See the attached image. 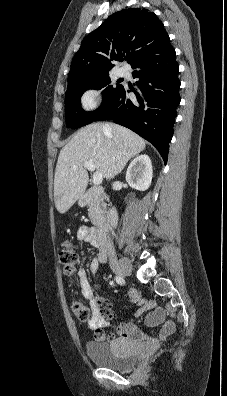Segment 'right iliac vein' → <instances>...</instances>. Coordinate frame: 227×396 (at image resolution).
Instances as JSON below:
<instances>
[{
	"label": "right iliac vein",
	"instance_id": "1",
	"mask_svg": "<svg viewBox=\"0 0 227 396\" xmlns=\"http://www.w3.org/2000/svg\"><path fill=\"white\" fill-rule=\"evenodd\" d=\"M112 270L119 276L127 277L130 274L129 264L126 260H114L111 262Z\"/></svg>",
	"mask_w": 227,
	"mask_h": 396
}]
</instances>
